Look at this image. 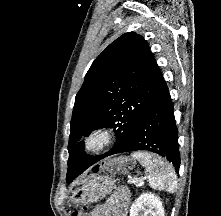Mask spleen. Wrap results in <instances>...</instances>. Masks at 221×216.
<instances>
[{"label":"spleen","mask_w":221,"mask_h":216,"mask_svg":"<svg viewBox=\"0 0 221 216\" xmlns=\"http://www.w3.org/2000/svg\"><path fill=\"white\" fill-rule=\"evenodd\" d=\"M132 157L138 159L145 168V175L153 189L174 193L177 189L176 174L173 167L161 157L147 152H136Z\"/></svg>","instance_id":"1"}]
</instances>
